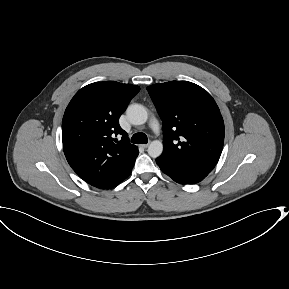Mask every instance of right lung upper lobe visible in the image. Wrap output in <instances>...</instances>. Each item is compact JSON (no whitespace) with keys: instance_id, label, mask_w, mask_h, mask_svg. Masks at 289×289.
<instances>
[{"instance_id":"obj_1","label":"right lung upper lobe","mask_w":289,"mask_h":289,"mask_svg":"<svg viewBox=\"0 0 289 289\" xmlns=\"http://www.w3.org/2000/svg\"><path fill=\"white\" fill-rule=\"evenodd\" d=\"M139 90L131 84L95 82L80 89L65 110L64 154L72 169L94 187L118 185L138 156V148L130 144L119 118Z\"/></svg>"}]
</instances>
